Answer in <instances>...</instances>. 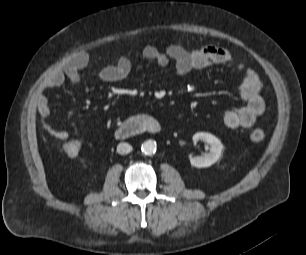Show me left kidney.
I'll use <instances>...</instances> for the list:
<instances>
[{
	"instance_id": "1",
	"label": "left kidney",
	"mask_w": 306,
	"mask_h": 255,
	"mask_svg": "<svg viewBox=\"0 0 306 255\" xmlns=\"http://www.w3.org/2000/svg\"><path fill=\"white\" fill-rule=\"evenodd\" d=\"M199 140L210 145V152L201 156L191 157L190 163L197 168L210 167L220 158L223 145L216 136L206 132H198L193 135L194 143H197Z\"/></svg>"
}]
</instances>
